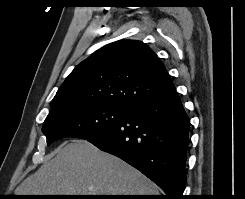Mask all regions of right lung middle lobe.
Listing matches in <instances>:
<instances>
[{
  "instance_id": "dd1d6c3e",
  "label": "right lung middle lobe",
  "mask_w": 245,
  "mask_h": 199,
  "mask_svg": "<svg viewBox=\"0 0 245 199\" xmlns=\"http://www.w3.org/2000/svg\"><path fill=\"white\" fill-rule=\"evenodd\" d=\"M129 110L105 104L83 103L58 109L44 121L47 145L65 137L88 139L118 123Z\"/></svg>"
}]
</instances>
